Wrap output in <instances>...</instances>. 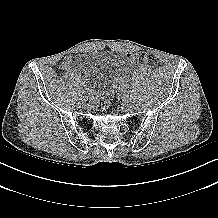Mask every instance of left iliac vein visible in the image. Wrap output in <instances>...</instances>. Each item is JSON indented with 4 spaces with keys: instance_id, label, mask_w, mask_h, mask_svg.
I'll return each instance as SVG.
<instances>
[{
    "instance_id": "1",
    "label": "left iliac vein",
    "mask_w": 218,
    "mask_h": 218,
    "mask_svg": "<svg viewBox=\"0 0 218 218\" xmlns=\"http://www.w3.org/2000/svg\"><path fill=\"white\" fill-rule=\"evenodd\" d=\"M126 106L128 107V108H130L131 107V103H130V101H126Z\"/></svg>"
}]
</instances>
